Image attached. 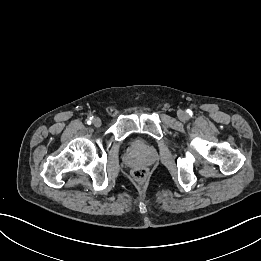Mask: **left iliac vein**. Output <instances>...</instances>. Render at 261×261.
Segmentation results:
<instances>
[{"instance_id": "obj_1", "label": "left iliac vein", "mask_w": 261, "mask_h": 261, "mask_svg": "<svg viewBox=\"0 0 261 261\" xmlns=\"http://www.w3.org/2000/svg\"><path fill=\"white\" fill-rule=\"evenodd\" d=\"M177 115H178V118H179L181 121H185V120H187V118H188L187 113L184 112V111H182V110L178 111Z\"/></svg>"}]
</instances>
